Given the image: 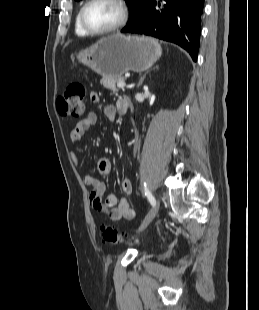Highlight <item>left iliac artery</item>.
Returning a JSON list of instances; mask_svg holds the SVG:
<instances>
[{"label": "left iliac artery", "mask_w": 259, "mask_h": 310, "mask_svg": "<svg viewBox=\"0 0 259 310\" xmlns=\"http://www.w3.org/2000/svg\"><path fill=\"white\" fill-rule=\"evenodd\" d=\"M144 192H145V195L147 196L150 204L152 206L155 205L156 201H155V198L153 197V195L151 194V192L149 191V189L147 188V185L146 183H144Z\"/></svg>", "instance_id": "44dca946"}]
</instances>
